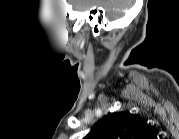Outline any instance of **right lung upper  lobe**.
Here are the masks:
<instances>
[{
  "instance_id": "cb5924a9",
  "label": "right lung upper lobe",
  "mask_w": 179,
  "mask_h": 139,
  "mask_svg": "<svg viewBox=\"0 0 179 139\" xmlns=\"http://www.w3.org/2000/svg\"><path fill=\"white\" fill-rule=\"evenodd\" d=\"M152 130L145 120L129 112L111 113L100 119L87 139H148Z\"/></svg>"
}]
</instances>
